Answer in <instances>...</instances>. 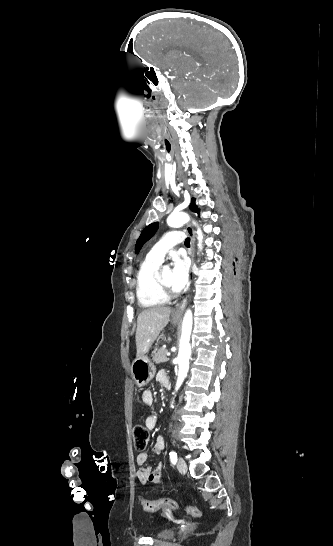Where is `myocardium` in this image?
<instances>
[{
    "instance_id": "obj_1",
    "label": "myocardium",
    "mask_w": 333,
    "mask_h": 546,
    "mask_svg": "<svg viewBox=\"0 0 333 546\" xmlns=\"http://www.w3.org/2000/svg\"><path fill=\"white\" fill-rule=\"evenodd\" d=\"M161 275H162V271L160 270V271H158L157 276H156V284H157V288H158L159 292L164 297H166L167 299H171V298L176 297L177 292L175 290H173L172 288H169L168 286H166L162 282Z\"/></svg>"
}]
</instances>
